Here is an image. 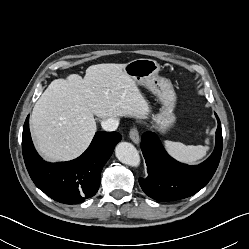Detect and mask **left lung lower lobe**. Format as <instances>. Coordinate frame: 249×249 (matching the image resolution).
<instances>
[{"label":"left lung lower lobe","instance_id":"left-lung-lower-lobe-1","mask_svg":"<svg viewBox=\"0 0 249 249\" xmlns=\"http://www.w3.org/2000/svg\"><path fill=\"white\" fill-rule=\"evenodd\" d=\"M216 145L211 156L197 166L182 164L170 157L156 134L143 135L141 149L148 177L139 179L143 191L158 201H173L189 197L201 190L212 178L219 164L223 139L218 116Z\"/></svg>","mask_w":249,"mask_h":249}]
</instances>
